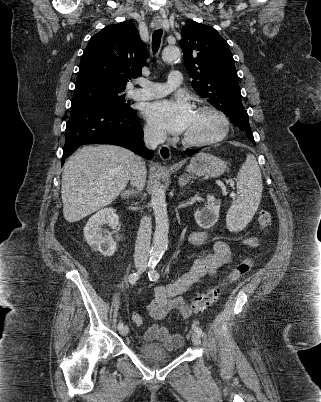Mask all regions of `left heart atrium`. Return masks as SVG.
I'll return each mask as SVG.
<instances>
[{
    "mask_svg": "<svg viewBox=\"0 0 321 402\" xmlns=\"http://www.w3.org/2000/svg\"><path fill=\"white\" fill-rule=\"evenodd\" d=\"M192 114L190 104L181 98L151 102L143 109L145 119L155 130L174 134L185 132Z\"/></svg>",
    "mask_w": 321,
    "mask_h": 402,
    "instance_id": "1",
    "label": "left heart atrium"
}]
</instances>
